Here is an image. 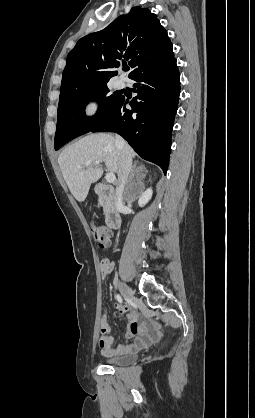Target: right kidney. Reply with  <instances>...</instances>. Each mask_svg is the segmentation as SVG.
I'll use <instances>...</instances> for the list:
<instances>
[{
  "label": "right kidney",
  "mask_w": 255,
  "mask_h": 418,
  "mask_svg": "<svg viewBox=\"0 0 255 418\" xmlns=\"http://www.w3.org/2000/svg\"><path fill=\"white\" fill-rule=\"evenodd\" d=\"M152 193H153L152 188H148L146 191L142 193V195L140 196L138 200V204L140 207L145 206L149 202V200L152 197Z\"/></svg>",
  "instance_id": "right-kidney-1"
}]
</instances>
